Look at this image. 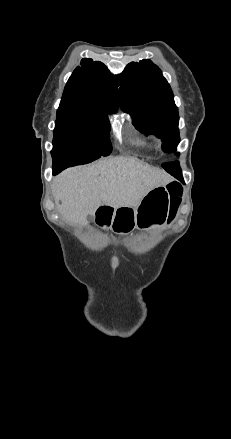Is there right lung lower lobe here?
<instances>
[{
  "label": "right lung lower lobe",
  "mask_w": 231,
  "mask_h": 439,
  "mask_svg": "<svg viewBox=\"0 0 231 439\" xmlns=\"http://www.w3.org/2000/svg\"><path fill=\"white\" fill-rule=\"evenodd\" d=\"M64 168H66V167L63 166V165H58V166L53 165V174H57V173H59V172L62 171Z\"/></svg>",
  "instance_id": "1"
}]
</instances>
